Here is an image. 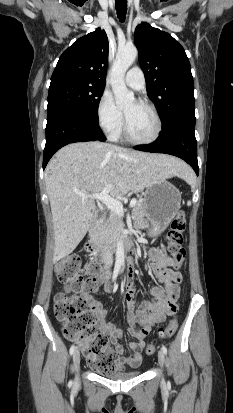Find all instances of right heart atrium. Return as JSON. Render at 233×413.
Segmentation results:
<instances>
[{"label": "right heart atrium", "mask_w": 233, "mask_h": 413, "mask_svg": "<svg viewBox=\"0 0 233 413\" xmlns=\"http://www.w3.org/2000/svg\"><path fill=\"white\" fill-rule=\"evenodd\" d=\"M96 118L100 128L110 137H117L123 128V114L109 92H103L96 106Z\"/></svg>", "instance_id": "1"}]
</instances>
